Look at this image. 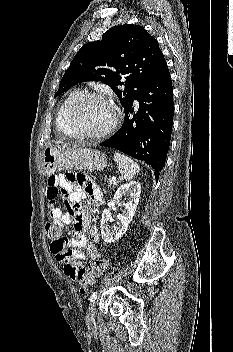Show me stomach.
I'll use <instances>...</instances> for the list:
<instances>
[{
    "label": "stomach",
    "instance_id": "obj_1",
    "mask_svg": "<svg viewBox=\"0 0 233 352\" xmlns=\"http://www.w3.org/2000/svg\"><path fill=\"white\" fill-rule=\"evenodd\" d=\"M106 164L105 154L90 148L47 147L42 154V170L45 175L64 169L99 171L106 167Z\"/></svg>",
    "mask_w": 233,
    "mask_h": 352
}]
</instances>
